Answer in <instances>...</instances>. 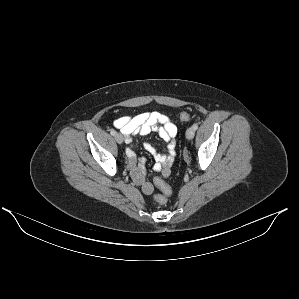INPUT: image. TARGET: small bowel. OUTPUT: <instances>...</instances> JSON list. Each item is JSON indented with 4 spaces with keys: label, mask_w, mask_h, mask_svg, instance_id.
<instances>
[{
    "label": "small bowel",
    "mask_w": 299,
    "mask_h": 299,
    "mask_svg": "<svg viewBox=\"0 0 299 299\" xmlns=\"http://www.w3.org/2000/svg\"><path fill=\"white\" fill-rule=\"evenodd\" d=\"M115 128L119 129L125 136V142L130 145L127 148L128 167L131 171L134 181L141 185L142 191L149 195L153 192L152 183L145 180L146 160L141 159L137 163V156L132 150L133 137L137 134L147 135L150 132H157L165 143L163 152H158L151 144L144 143V149L154 157V170L161 174V177L155 178L158 181L167 178L170 174L171 164L176 156L177 127L173 120L159 112H144L135 116H123L113 122ZM158 186V185H157Z\"/></svg>",
    "instance_id": "c3829d8e"
}]
</instances>
